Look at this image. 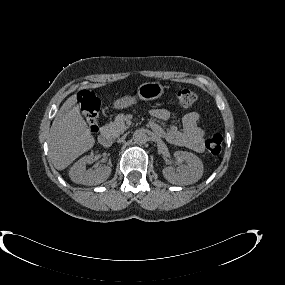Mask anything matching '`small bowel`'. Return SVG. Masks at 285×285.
I'll return each mask as SVG.
<instances>
[{
    "label": "small bowel",
    "mask_w": 285,
    "mask_h": 285,
    "mask_svg": "<svg viewBox=\"0 0 285 285\" xmlns=\"http://www.w3.org/2000/svg\"><path fill=\"white\" fill-rule=\"evenodd\" d=\"M150 114L155 119L150 122V127L167 142L172 145L188 148L197 153L204 151L205 132L199 126L200 116L198 113L190 112L186 114L183 118L182 129L176 126L164 129L159 124V122H166L170 119V112L165 108H154L150 111Z\"/></svg>",
    "instance_id": "obj_1"
}]
</instances>
